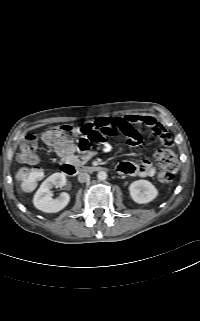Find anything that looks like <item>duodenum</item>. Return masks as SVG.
Masks as SVG:
<instances>
[{
	"label": "duodenum",
	"mask_w": 200,
	"mask_h": 321,
	"mask_svg": "<svg viewBox=\"0 0 200 321\" xmlns=\"http://www.w3.org/2000/svg\"><path fill=\"white\" fill-rule=\"evenodd\" d=\"M103 170L100 166H94V165H82V164H64L62 166V172L65 175L73 176L79 173H96Z\"/></svg>",
	"instance_id": "obj_1"
}]
</instances>
